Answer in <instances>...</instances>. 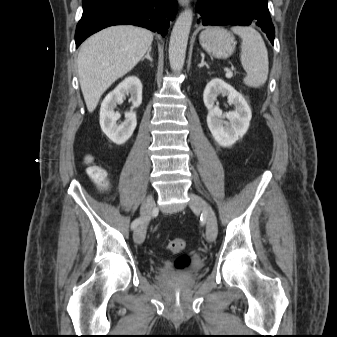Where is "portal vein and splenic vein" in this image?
<instances>
[{
	"label": "portal vein and splenic vein",
	"instance_id": "obj_1",
	"mask_svg": "<svg viewBox=\"0 0 337 337\" xmlns=\"http://www.w3.org/2000/svg\"><path fill=\"white\" fill-rule=\"evenodd\" d=\"M233 69V68H232ZM233 76V72L232 71H227L226 73V77L227 78H231Z\"/></svg>",
	"mask_w": 337,
	"mask_h": 337
}]
</instances>
